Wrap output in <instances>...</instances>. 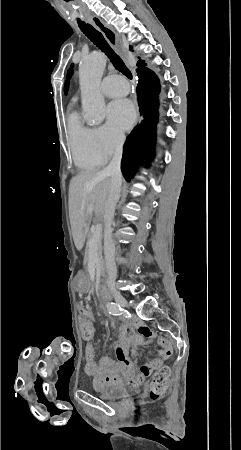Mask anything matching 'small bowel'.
Listing matches in <instances>:
<instances>
[{
  "label": "small bowel",
  "instance_id": "small-bowel-1",
  "mask_svg": "<svg viewBox=\"0 0 241 450\" xmlns=\"http://www.w3.org/2000/svg\"><path fill=\"white\" fill-rule=\"evenodd\" d=\"M77 287L82 291L86 286L81 282ZM80 310L83 316L80 327L81 324H93V312L86 306H82ZM118 334L120 341L116 350L117 361L108 357H102L96 361V348L93 346V342L89 346L85 345L84 356L87 361L85 370L93 378L96 389H103L112 385H124L132 389L139 388L150 373L170 355L167 341L159 338V343L165 349V352L160 358L154 359L148 364H143L139 373H136L134 364L128 354L129 349L131 347L136 348L143 343L144 337H152L154 334L146 324L140 321L135 322L132 326L120 327Z\"/></svg>",
  "mask_w": 241,
  "mask_h": 450
}]
</instances>
